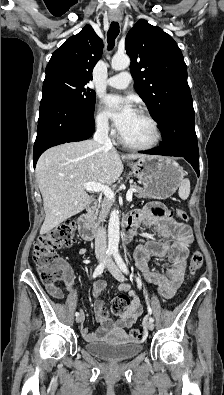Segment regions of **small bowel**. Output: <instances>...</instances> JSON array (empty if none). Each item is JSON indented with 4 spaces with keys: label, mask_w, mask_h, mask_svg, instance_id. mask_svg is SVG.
Wrapping results in <instances>:
<instances>
[{
    "label": "small bowel",
    "mask_w": 224,
    "mask_h": 395,
    "mask_svg": "<svg viewBox=\"0 0 224 395\" xmlns=\"http://www.w3.org/2000/svg\"><path fill=\"white\" fill-rule=\"evenodd\" d=\"M138 214L139 222L143 221L152 226L154 231L161 236V239L148 240L140 244L134 253L135 263L145 280L158 286L160 296L164 299H170L174 296L183 279L189 246L192 242L191 230L184 223L176 221L169 211L158 203L148 204L142 211H138ZM153 258L170 263L165 274L152 271L149 268V262ZM64 282L68 290L74 288L75 278L71 270H69V276ZM45 287L55 298L63 297L62 289L56 284H45ZM105 288L106 283L104 281H98L93 288L95 315L97 321L101 323V328L97 333H92L87 327H82L83 336L89 341L105 338L110 332L122 331L131 327L143 313L140 298L128 284H121L119 290L129 295V305L115 321L102 317V302L98 297L104 292Z\"/></svg>",
    "instance_id": "c3829d8e"
}]
</instances>
